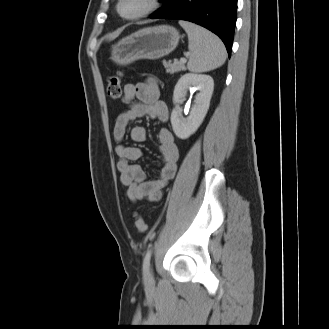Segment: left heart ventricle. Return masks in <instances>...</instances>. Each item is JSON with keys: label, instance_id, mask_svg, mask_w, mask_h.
<instances>
[{"label": "left heart ventricle", "instance_id": "b2bd125f", "mask_svg": "<svg viewBox=\"0 0 329 329\" xmlns=\"http://www.w3.org/2000/svg\"><path fill=\"white\" fill-rule=\"evenodd\" d=\"M145 6L146 0H124L120 9L124 15H132L140 12Z\"/></svg>", "mask_w": 329, "mask_h": 329}]
</instances>
